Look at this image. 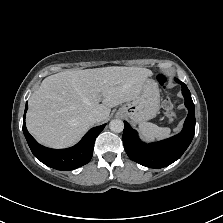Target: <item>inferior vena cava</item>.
<instances>
[{"instance_id":"602c4592","label":"inferior vena cava","mask_w":223,"mask_h":223,"mask_svg":"<svg viewBox=\"0 0 223 223\" xmlns=\"http://www.w3.org/2000/svg\"><path fill=\"white\" fill-rule=\"evenodd\" d=\"M103 119H104L103 114L98 110H93L89 113V120L94 122V123L95 122H100Z\"/></svg>"}]
</instances>
